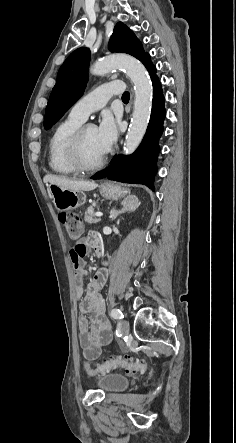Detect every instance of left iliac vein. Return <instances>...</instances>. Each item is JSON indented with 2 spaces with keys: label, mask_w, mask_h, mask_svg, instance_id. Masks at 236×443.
I'll list each match as a JSON object with an SVG mask.
<instances>
[{
  "label": "left iliac vein",
  "mask_w": 236,
  "mask_h": 443,
  "mask_svg": "<svg viewBox=\"0 0 236 443\" xmlns=\"http://www.w3.org/2000/svg\"><path fill=\"white\" fill-rule=\"evenodd\" d=\"M120 332L122 335H128L129 333V323L126 320H122Z\"/></svg>",
  "instance_id": "left-iliac-vein-1"
}]
</instances>
